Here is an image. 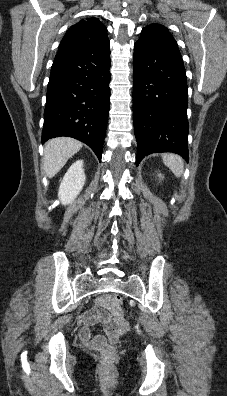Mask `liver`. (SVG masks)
<instances>
[{
	"instance_id": "obj_1",
	"label": "liver",
	"mask_w": 227,
	"mask_h": 396,
	"mask_svg": "<svg viewBox=\"0 0 227 396\" xmlns=\"http://www.w3.org/2000/svg\"><path fill=\"white\" fill-rule=\"evenodd\" d=\"M82 148V143L69 137L49 140L44 147L43 168L49 178L54 177L68 159Z\"/></svg>"
}]
</instances>
